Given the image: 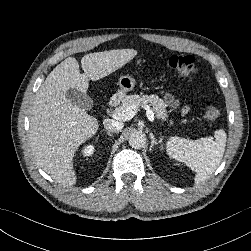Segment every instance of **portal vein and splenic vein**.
Listing matches in <instances>:
<instances>
[{
    "instance_id": "1",
    "label": "portal vein and splenic vein",
    "mask_w": 251,
    "mask_h": 251,
    "mask_svg": "<svg viewBox=\"0 0 251 251\" xmlns=\"http://www.w3.org/2000/svg\"><path fill=\"white\" fill-rule=\"evenodd\" d=\"M144 108L146 110V115L149 121L154 122V113L152 109L148 105H146ZM136 110V105L128 106L125 109L117 108L112 114V117L116 120L127 121L135 116V114L137 113Z\"/></svg>"
}]
</instances>
